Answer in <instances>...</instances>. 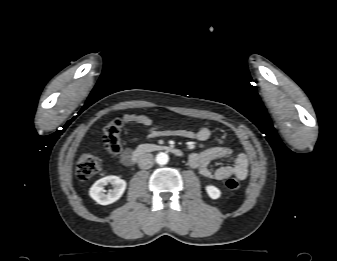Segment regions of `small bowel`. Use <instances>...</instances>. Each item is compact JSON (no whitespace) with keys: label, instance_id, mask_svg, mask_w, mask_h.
<instances>
[{"label":"small bowel","instance_id":"1","mask_svg":"<svg viewBox=\"0 0 337 261\" xmlns=\"http://www.w3.org/2000/svg\"><path fill=\"white\" fill-rule=\"evenodd\" d=\"M126 123H139L148 127L147 137L155 138L160 136L174 135L186 139H196L198 141H206L211 136V130L207 127H202L196 131L192 130H178L174 132L163 131L158 127L153 126L152 120L145 115L126 114L123 117ZM136 141L134 137H128V142L133 143ZM131 148H126L121 154V161L128 164L131 159ZM231 158L233 165L220 166L216 169L210 168V163L215 159ZM189 165L198 171V173L205 178L216 180H224L231 176H235L239 180H244L248 175V158L244 153H235L228 147H211L202 152H193L188 157Z\"/></svg>","mask_w":337,"mask_h":261}]
</instances>
